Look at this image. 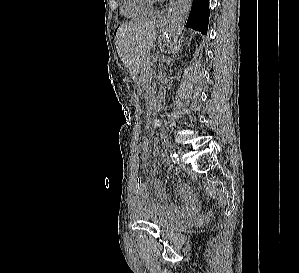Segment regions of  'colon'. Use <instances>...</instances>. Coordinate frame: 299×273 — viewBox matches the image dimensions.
I'll list each match as a JSON object with an SVG mask.
<instances>
[{
    "mask_svg": "<svg viewBox=\"0 0 299 273\" xmlns=\"http://www.w3.org/2000/svg\"><path fill=\"white\" fill-rule=\"evenodd\" d=\"M141 146H142V149L149 148V139L147 136H144L142 138ZM211 215H212L211 213H208L207 215H200L198 217V219H199V221H206L211 217Z\"/></svg>",
    "mask_w": 299,
    "mask_h": 273,
    "instance_id": "5ec220e1",
    "label": "colon"
}]
</instances>
